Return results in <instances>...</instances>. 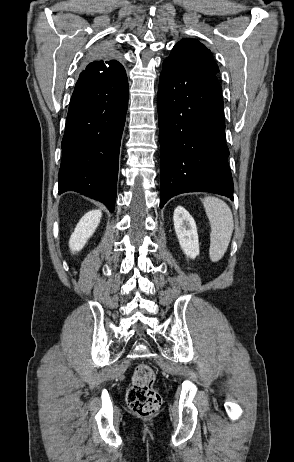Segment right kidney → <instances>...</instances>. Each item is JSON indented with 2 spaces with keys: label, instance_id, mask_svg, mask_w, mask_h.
Here are the masks:
<instances>
[{
  "label": "right kidney",
  "instance_id": "right-kidney-1",
  "mask_svg": "<svg viewBox=\"0 0 294 462\" xmlns=\"http://www.w3.org/2000/svg\"><path fill=\"white\" fill-rule=\"evenodd\" d=\"M101 217L100 210H92L81 218L69 240V247L73 253L85 246L98 227Z\"/></svg>",
  "mask_w": 294,
  "mask_h": 462
}]
</instances>
